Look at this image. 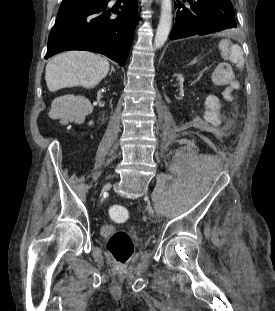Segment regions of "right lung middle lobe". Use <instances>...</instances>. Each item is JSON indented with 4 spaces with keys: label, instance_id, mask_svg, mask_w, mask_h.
<instances>
[{
    "label": "right lung middle lobe",
    "instance_id": "1",
    "mask_svg": "<svg viewBox=\"0 0 275 311\" xmlns=\"http://www.w3.org/2000/svg\"><path fill=\"white\" fill-rule=\"evenodd\" d=\"M99 1L101 0H73V1L62 2V6L59 12L69 9L71 7L80 6V5H84V4L91 3V2H99Z\"/></svg>",
    "mask_w": 275,
    "mask_h": 311
}]
</instances>
